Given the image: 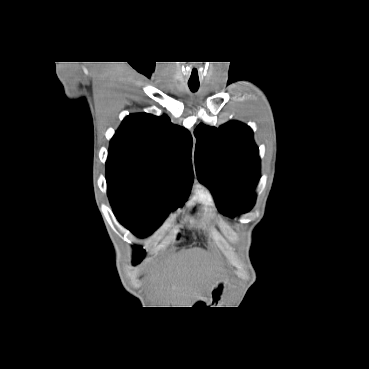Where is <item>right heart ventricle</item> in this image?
<instances>
[{
  "label": "right heart ventricle",
  "mask_w": 369,
  "mask_h": 369,
  "mask_svg": "<svg viewBox=\"0 0 369 369\" xmlns=\"http://www.w3.org/2000/svg\"><path fill=\"white\" fill-rule=\"evenodd\" d=\"M197 201L201 205L200 216L203 221H211L215 216L213 198L208 192H200L197 196Z\"/></svg>",
  "instance_id": "e07e8e85"
}]
</instances>
